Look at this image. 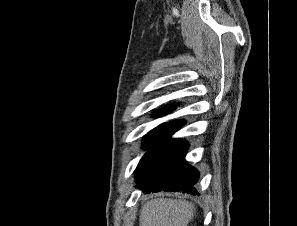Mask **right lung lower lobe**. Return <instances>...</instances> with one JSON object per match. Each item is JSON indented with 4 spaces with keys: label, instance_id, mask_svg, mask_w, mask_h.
<instances>
[{
    "label": "right lung lower lobe",
    "instance_id": "1",
    "mask_svg": "<svg viewBox=\"0 0 297 226\" xmlns=\"http://www.w3.org/2000/svg\"><path fill=\"white\" fill-rule=\"evenodd\" d=\"M182 125V120L166 123L137 166L136 186L144 193L177 191L199 195L193 187L199 173L185 161L187 143L171 138Z\"/></svg>",
    "mask_w": 297,
    "mask_h": 226
}]
</instances>
